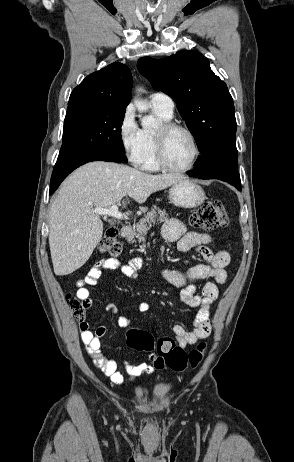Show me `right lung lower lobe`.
Returning a JSON list of instances; mask_svg holds the SVG:
<instances>
[{
	"mask_svg": "<svg viewBox=\"0 0 294 462\" xmlns=\"http://www.w3.org/2000/svg\"><path fill=\"white\" fill-rule=\"evenodd\" d=\"M91 161H112V162H127L125 153L116 151H106L99 153H92L86 155H79L56 162L52 177H51V188L49 194H52L61 182L76 168L79 166L91 162Z\"/></svg>",
	"mask_w": 294,
	"mask_h": 462,
	"instance_id": "1",
	"label": "right lung lower lobe"
}]
</instances>
